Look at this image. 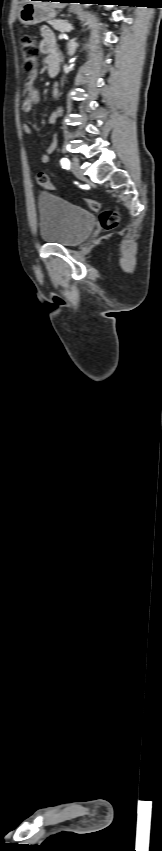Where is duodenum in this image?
Listing matches in <instances>:
<instances>
[{"instance_id": "1", "label": "duodenum", "mask_w": 162, "mask_h": 851, "mask_svg": "<svg viewBox=\"0 0 162 851\" xmlns=\"http://www.w3.org/2000/svg\"><path fill=\"white\" fill-rule=\"evenodd\" d=\"M47 69L49 75L51 77H55L59 71V61L56 59H49L47 61Z\"/></svg>"}]
</instances>
